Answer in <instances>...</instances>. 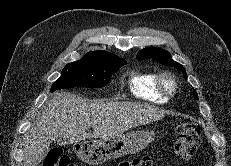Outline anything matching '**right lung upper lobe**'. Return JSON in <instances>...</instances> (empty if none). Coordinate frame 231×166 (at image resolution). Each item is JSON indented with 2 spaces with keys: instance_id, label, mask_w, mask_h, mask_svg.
Instances as JSON below:
<instances>
[{
  "instance_id": "obj_1",
  "label": "right lung upper lobe",
  "mask_w": 231,
  "mask_h": 166,
  "mask_svg": "<svg viewBox=\"0 0 231 166\" xmlns=\"http://www.w3.org/2000/svg\"><path fill=\"white\" fill-rule=\"evenodd\" d=\"M115 56L107 51H97V52H89L83 58H91V59H103L105 57Z\"/></svg>"
}]
</instances>
